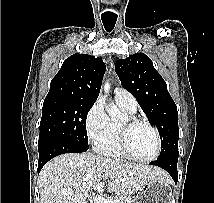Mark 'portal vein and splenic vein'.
<instances>
[{
    "label": "portal vein and splenic vein",
    "instance_id": "1",
    "mask_svg": "<svg viewBox=\"0 0 214 203\" xmlns=\"http://www.w3.org/2000/svg\"><path fill=\"white\" fill-rule=\"evenodd\" d=\"M104 187V182H100L98 184H96L93 189L94 190H100L101 188ZM72 192V190L68 189V190H63L62 193L63 194H70ZM92 202L93 203H116V201L114 200H109L107 198H104L102 196H94L92 197Z\"/></svg>",
    "mask_w": 214,
    "mask_h": 203
}]
</instances>
